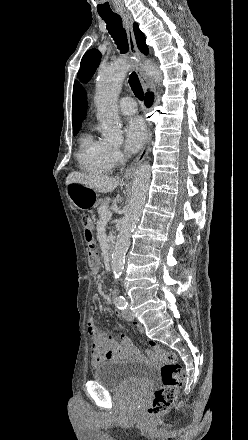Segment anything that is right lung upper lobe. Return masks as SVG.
Listing matches in <instances>:
<instances>
[{
  "mask_svg": "<svg viewBox=\"0 0 248 440\" xmlns=\"http://www.w3.org/2000/svg\"><path fill=\"white\" fill-rule=\"evenodd\" d=\"M134 33L137 41L138 48L144 54H148V47L145 44V36L138 28L137 23L133 24ZM87 112V102L86 93L83 88L75 82L73 88V99H72V122L73 131L79 130L83 119L86 117Z\"/></svg>",
  "mask_w": 248,
  "mask_h": 440,
  "instance_id": "cb5924a9",
  "label": "right lung upper lobe"
}]
</instances>
